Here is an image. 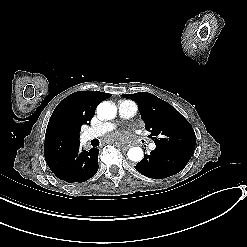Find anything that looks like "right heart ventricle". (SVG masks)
<instances>
[{"label":"right heart ventricle","mask_w":247,"mask_h":247,"mask_svg":"<svg viewBox=\"0 0 247 247\" xmlns=\"http://www.w3.org/2000/svg\"><path fill=\"white\" fill-rule=\"evenodd\" d=\"M122 103H125V104H129V105H132L134 107H136V104L132 101H129V100H121L119 101V104H122Z\"/></svg>","instance_id":"obj_1"}]
</instances>
